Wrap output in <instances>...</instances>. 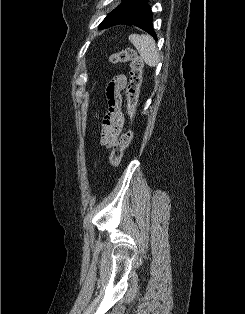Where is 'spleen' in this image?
Here are the masks:
<instances>
[{"mask_svg":"<svg viewBox=\"0 0 245 314\" xmlns=\"http://www.w3.org/2000/svg\"><path fill=\"white\" fill-rule=\"evenodd\" d=\"M130 42L137 49L141 58L150 67H155L159 61V54L154 39L149 35L131 34Z\"/></svg>","mask_w":245,"mask_h":314,"instance_id":"spleen-1","label":"spleen"}]
</instances>
